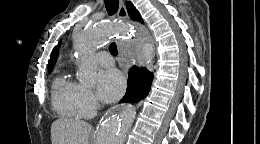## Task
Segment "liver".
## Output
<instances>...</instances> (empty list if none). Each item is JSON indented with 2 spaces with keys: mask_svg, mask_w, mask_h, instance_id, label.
Returning <instances> with one entry per match:
<instances>
[{
  "mask_svg": "<svg viewBox=\"0 0 260 144\" xmlns=\"http://www.w3.org/2000/svg\"><path fill=\"white\" fill-rule=\"evenodd\" d=\"M91 125L72 118H59L51 125L52 144H89Z\"/></svg>",
  "mask_w": 260,
  "mask_h": 144,
  "instance_id": "liver-1",
  "label": "liver"
}]
</instances>
